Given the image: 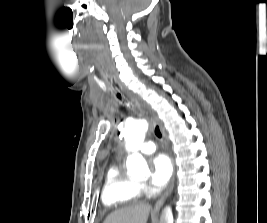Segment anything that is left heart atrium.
I'll return each mask as SVG.
<instances>
[{"instance_id":"1","label":"left heart atrium","mask_w":267,"mask_h":223,"mask_svg":"<svg viewBox=\"0 0 267 223\" xmlns=\"http://www.w3.org/2000/svg\"><path fill=\"white\" fill-rule=\"evenodd\" d=\"M173 174L172 159L164 153L157 154L151 160L150 182L158 187L168 183Z\"/></svg>"}]
</instances>
